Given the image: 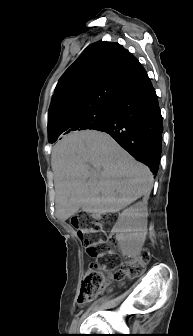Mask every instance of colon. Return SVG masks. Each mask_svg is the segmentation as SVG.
I'll list each match as a JSON object with an SVG mask.
<instances>
[{"label": "colon", "instance_id": "obj_1", "mask_svg": "<svg viewBox=\"0 0 193 336\" xmlns=\"http://www.w3.org/2000/svg\"><path fill=\"white\" fill-rule=\"evenodd\" d=\"M71 223L91 257L101 259L115 254L114 217L80 213L72 217ZM149 260V252L142 250L135 257L121 264L119 270L114 274L115 279L122 280L123 278L140 276ZM106 284L105 274L97 266H91L84 275L78 302L80 304L87 303L95 294L102 292Z\"/></svg>", "mask_w": 193, "mask_h": 336}]
</instances>
